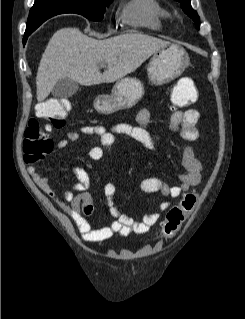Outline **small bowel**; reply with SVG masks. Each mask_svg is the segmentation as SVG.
Segmentation results:
<instances>
[{
	"label": "small bowel",
	"instance_id": "c3829d8e",
	"mask_svg": "<svg viewBox=\"0 0 245 319\" xmlns=\"http://www.w3.org/2000/svg\"><path fill=\"white\" fill-rule=\"evenodd\" d=\"M174 90H179L185 94L190 103L197 100L193 81L189 77L180 78ZM199 118V112L193 108L172 113L169 128L177 133L183 141L181 149L183 171L177 174L179 183L169 185L158 177H148L140 182L142 192L160 193L166 197L178 198L201 182L203 165L189 145V142L195 141L200 137L197 127ZM136 122L137 125L117 124L109 130L103 126H83L77 130L69 131L66 134V138L56 142V148L58 150L65 149L69 141L77 140L80 134L92 135L97 138L98 145L89 150L88 156L92 161H99L104 156L105 151L113 145L115 134H119L142 144L148 150H152L159 137L149 130V111L146 109L140 110L136 115ZM69 169L77 179L71 186L72 190L78 192V194L74 195L71 190L66 191L64 194L65 201H60L56 198L48 179L41 176L33 166L29 167V173L38 186L56 201L59 208L71 217L85 241L101 242L109 239L115 233L122 236H127L131 232L146 234L157 224L163 212L169 207V202H163L156 212L145 215L142 220H135L116 205V186L114 183L108 182L103 187V193L109 213L114 218V221L108 225L94 226L86 218L94 210L93 198L88 192L91 185L90 175L78 165H71Z\"/></svg>",
	"mask_w": 245,
	"mask_h": 319
}]
</instances>
